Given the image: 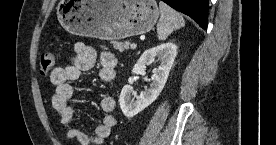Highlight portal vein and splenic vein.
<instances>
[{
    "mask_svg": "<svg viewBox=\"0 0 276 145\" xmlns=\"http://www.w3.org/2000/svg\"><path fill=\"white\" fill-rule=\"evenodd\" d=\"M130 47H131V49H136L137 45H136L135 43H132V44L130 45Z\"/></svg>",
    "mask_w": 276,
    "mask_h": 145,
    "instance_id": "obj_1",
    "label": "portal vein and splenic vein"
}]
</instances>
